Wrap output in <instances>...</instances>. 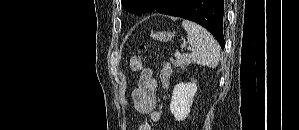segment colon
Wrapping results in <instances>:
<instances>
[{
    "instance_id": "obj_1",
    "label": "colon",
    "mask_w": 299,
    "mask_h": 130,
    "mask_svg": "<svg viewBox=\"0 0 299 130\" xmlns=\"http://www.w3.org/2000/svg\"><path fill=\"white\" fill-rule=\"evenodd\" d=\"M143 65L142 55L139 53L131 58L130 60V68L133 72L140 71ZM171 70L170 64L166 63L162 69V79H165Z\"/></svg>"
}]
</instances>
